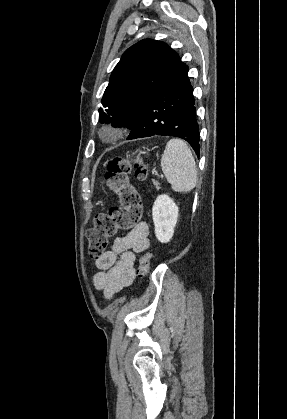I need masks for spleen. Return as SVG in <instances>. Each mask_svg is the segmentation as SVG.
<instances>
[{
	"mask_svg": "<svg viewBox=\"0 0 287 419\" xmlns=\"http://www.w3.org/2000/svg\"><path fill=\"white\" fill-rule=\"evenodd\" d=\"M161 168L176 192H189L197 182V167L188 145L180 139H170L161 158Z\"/></svg>",
	"mask_w": 287,
	"mask_h": 419,
	"instance_id": "spleen-1",
	"label": "spleen"
}]
</instances>
